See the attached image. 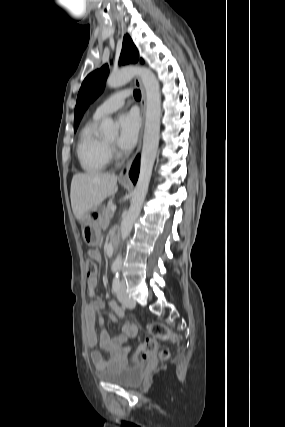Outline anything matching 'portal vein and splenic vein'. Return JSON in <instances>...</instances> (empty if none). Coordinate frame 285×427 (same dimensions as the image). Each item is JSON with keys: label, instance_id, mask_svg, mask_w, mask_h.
Here are the masks:
<instances>
[{"label": "portal vein and splenic vein", "instance_id": "obj_1", "mask_svg": "<svg viewBox=\"0 0 285 427\" xmlns=\"http://www.w3.org/2000/svg\"><path fill=\"white\" fill-rule=\"evenodd\" d=\"M111 210H112V212H114L116 210V206L113 205L112 208H111Z\"/></svg>", "mask_w": 285, "mask_h": 427}]
</instances>
